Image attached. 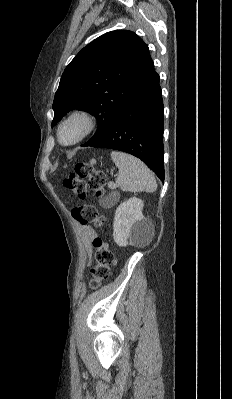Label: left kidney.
<instances>
[{
  "mask_svg": "<svg viewBox=\"0 0 232 399\" xmlns=\"http://www.w3.org/2000/svg\"><path fill=\"white\" fill-rule=\"evenodd\" d=\"M143 205L138 198H129L118 205L113 223V237L118 245H135L139 239H145L151 223L142 213Z\"/></svg>",
  "mask_w": 232,
  "mask_h": 399,
  "instance_id": "5707ae66",
  "label": "left kidney"
}]
</instances>
